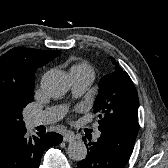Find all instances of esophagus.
<instances>
[{
	"instance_id": "1",
	"label": "esophagus",
	"mask_w": 168,
	"mask_h": 168,
	"mask_svg": "<svg viewBox=\"0 0 168 168\" xmlns=\"http://www.w3.org/2000/svg\"><path fill=\"white\" fill-rule=\"evenodd\" d=\"M76 139H77V137L73 133H67L63 136V141H65V142H73Z\"/></svg>"
}]
</instances>
